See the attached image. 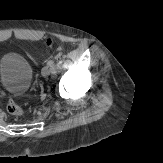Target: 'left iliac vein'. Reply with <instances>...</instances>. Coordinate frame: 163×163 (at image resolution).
Wrapping results in <instances>:
<instances>
[{
	"mask_svg": "<svg viewBox=\"0 0 163 163\" xmlns=\"http://www.w3.org/2000/svg\"><path fill=\"white\" fill-rule=\"evenodd\" d=\"M50 72H51V69H50L49 66H44V67L42 68V71H41L42 76H44V77L49 76V75H50Z\"/></svg>",
	"mask_w": 163,
	"mask_h": 163,
	"instance_id": "obj_1",
	"label": "left iliac vein"
}]
</instances>
